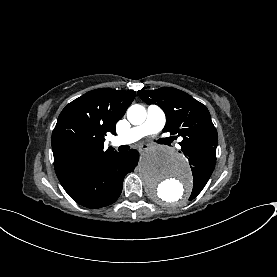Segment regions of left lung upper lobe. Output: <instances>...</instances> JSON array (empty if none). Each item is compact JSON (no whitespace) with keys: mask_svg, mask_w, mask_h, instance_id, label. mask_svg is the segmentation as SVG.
<instances>
[{"mask_svg":"<svg viewBox=\"0 0 277 277\" xmlns=\"http://www.w3.org/2000/svg\"><path fill=\"white\" fill-rule=\"evenodd\" d=\"M138 95L147 104H158L166 114L163 129L171 135L183 137L180 142L183 153L206 146L217 147L218 137L208 109L189 94L171 87L156 90H139ZM191 163L194 199L204 188L214 167L204 159Z\"/></svg>","mask_w":277,"mask_h":277,"instance_id":"left-lung-upper-lobe-1","label":"left lung upper lobe"}]
</instances>
